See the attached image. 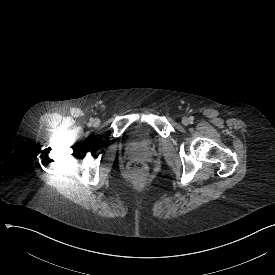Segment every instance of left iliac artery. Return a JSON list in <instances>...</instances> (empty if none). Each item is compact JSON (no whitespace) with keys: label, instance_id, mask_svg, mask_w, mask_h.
Segmentation results:
<instances>
[{"label":"left iliac artery","instance_id":"obj_1","mask_svg":"<svg viewBox=\"0 0 275 275\" xmlns=\"http://www.w3.org/2000/svg\"><path fill=\"white\" fill-rule=\"evenodd\" d=\"M189 119H190V121L192 122L194 118H193V117H190Z\"/></svg>","mask_w":275,"mask_h":275}]
</instances>
